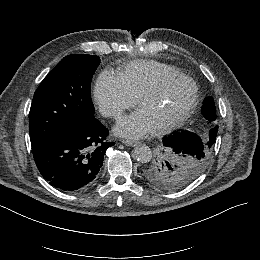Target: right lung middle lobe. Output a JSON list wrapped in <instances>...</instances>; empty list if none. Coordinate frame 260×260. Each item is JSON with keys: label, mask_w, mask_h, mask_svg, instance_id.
I'll return each instance as SVG.
<instances>
[{"label": "right lung middle lobe", "mask_w": 260, "mask_h": 260, "mask_svg": "<svg viewBox=\"0 0 260 260\" xmlns=\"http://www.w3.org/2000/svg\"><path fill=\"white\" fill-rule=\"evenodd\" d=\"M99 64L98 56L68 55L41 82L29 113L32 148L75 130L94 116L90 85Z\"/></svg>", "instance_id": "obj_1"}]
</instances>
